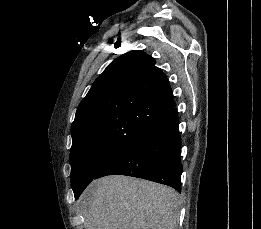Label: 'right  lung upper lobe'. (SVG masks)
<instances>
[{
  "mask_svg": "<svg viewBox=\"0 0 261 229\" xmlns=\"http://www.w3.org/2000/svg\"><path fill=\"white\" fill-rule=\"evenodd\" d=\"M174 109L166 75L142 51L115 59L94 81L72 123V145L132 146Z\"/></svg>",
  "mask_w": 261,
  "mask_h": 229,
  "instance_id": "cb5924a9",
  "label": "right lung upper lobe"
}]
</instances>
